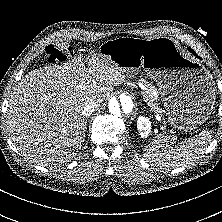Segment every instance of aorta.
<instances>
[{
    "mask_svg": "<svg viewBox=\"0 0 222 222\" xmlns=\"http://www.w3.org/2000/svg\"><path fill=\"white\" fill-rule=\"evenodd\" d=\"M108 109L111 115L116 118H123L130 115L134 110V101L131 96L121 94L119 99L112 98L109 101Z\"/></svg>",
    "mask_w": 222,
    "mask_h": 222,
    "instance_id": "aorta-1",
    "label": "aorta"
}]
</instances>
